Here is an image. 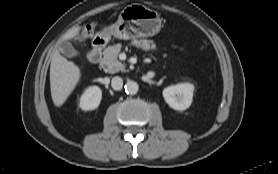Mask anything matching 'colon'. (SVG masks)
I'll list each match as a JSON object with an SVG mask.
<instances>
[{
	"label": "colon",
	"mask_w": 278,
	"mask_h": 174,
	"mask_svg": "<svg viewBox=\"0 0 278 174\" xmlns=\"http://www.w3.org/2000/svg\"><path fill=\"white\" fill-rule=\"evenodd\" d=\"M92 32H93V26L92 25L87 26L82 32V37L87 38L92 34Z\"/></svg>",
	"instance_id": "obj_1"
}]
</instances>
